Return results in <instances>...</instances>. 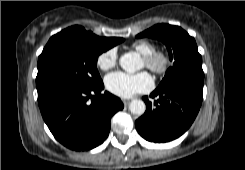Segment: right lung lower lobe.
<instances>
[{
	"label": "right lung lower lobe",
	"instance_id": "right-lung-lower-lobe-1",
	"mask_svg": "<svg viewBox=\"0 0 245 170\" xmlns=\"http://www.w3.org/2000/svg\"><path fill=\"white\" fill-rule=\"evenodd\" d=\"M104 84L89 89L63 90L38 100L42 117L53 136L65 147L87 151L107 138L111 117L124 105L105 92Z\"/></svg>",
	"mask_w": 245,
	"mask_h": 170
}]
</instances>
